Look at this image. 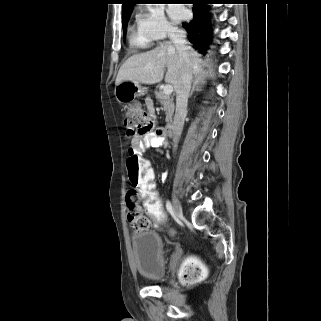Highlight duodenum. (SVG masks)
Instances as JSON below:
<instances>
[{"label":"duodenum","mask_w":321,"mask_h":321,"mask_svg":"<svg viewBox=\"0 0 321 321\" xmlns=\"http://www.w3.org/2000/svg\"><path fill=\"white\" fill-rule=\"evenodd\" d=\"M164 133L167 136H171L173 134V125L171 123H168L164 128Z\"/></svg>","instance_id":"410a0bca"}]
</instances>
